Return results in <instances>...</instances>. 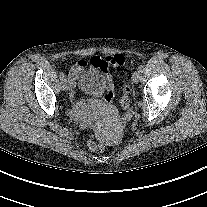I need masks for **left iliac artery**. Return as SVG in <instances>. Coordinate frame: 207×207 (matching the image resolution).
Here are the masks:
<instances>
[{"label":"left iliac artery","mask_w":207,"mask_h":207,"mask_svg":"<svg viewBox=\"0 0 207 207\" xmlns=\"http://www.w3.org/2000/svg\"><path fill=\"white\" fill-rule=\"evenodd\" d=\"M143 70H144L143 65H140V66L138 67V69H137V71H138V72H141V73L143 72Z\"/></svg>","instance_id":"1"}]
</instances>
